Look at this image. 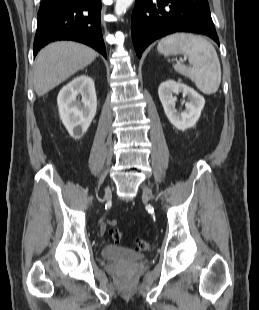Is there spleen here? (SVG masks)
<instances>
[{
    "label": "spleen",
    "instance_id": "3e777b00",
    "mask_svg": "<svg viewBox=\"0 0 259 310\" xmlns=\"http://www.w3.org/2000/svg\"><path fill=\"white\" fill-rule=\"evenodd\" d=\"M157 49L166 55L184 54L190 66L173 65L176 72L189 77L204 94L216 93L221 83V66L213 45L204 37L175 33L164 37Z\"/></svg>",
    "mask_w": 259,
    "mask_h": 310
}]
</instances>
